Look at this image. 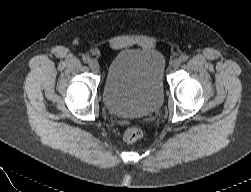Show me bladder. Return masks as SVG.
<instances>
[{
  "instance_id": "bladder-1",
  "label": "bladder",
  "mask_w": 251,
  "mask_h": 192,
  "mask_svg": "<svg viewBox=\"0 0 251 192\" xmlns=\"http://www.w3.org/2000/svg\"><path fill=\"white\" fill-rule=\"evenodd\" d=\"M164 71L165 59L157 50H121L107 71L103 87L106 108L121 117H141L156 112L164 97Z\"/></svg>"
}]
</instances>
